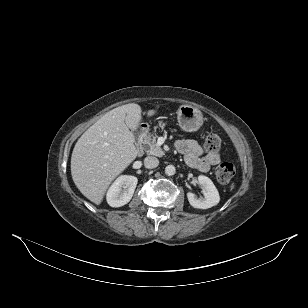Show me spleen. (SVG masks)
<instances>
[{"label": "spleen", "mask_w": 308, "mask_h": 308, "mask_svg": "<svg viewBox=\"0 0 308 308\" xmlns=\"http://www.w3.org/2000/svg\"><path fill=\"white\" fill-rule=\"evenodd\" d=\"M233 189H234V184L230 186V190H233Z\"/></svg>", "instance_id": "spleen-1"}]
</instances>
